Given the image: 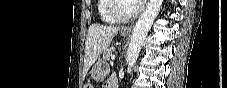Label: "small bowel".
<instances>
[{
  "label": "small bowel",
  "mask_w": 227,
  "mask_h": 88,
  "mask_svg": "<svg viewBox=\"0 0 227 88\" xmlns=\"http://www.w3.org/2000/svg\"><path fill=\"white\" fill-rule=\"evenodd\" d=\"M116 79V76H112L111 78H109L106 83H105V87L107 88H112L113 86V81Z\"/></svg>",
  "instance_id": "c3829d8e"
}]
</instances>
